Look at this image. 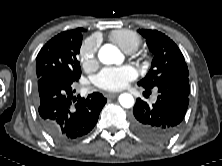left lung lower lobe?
Instances as JSON below:
<instances>
[{"mask_svg": "<svg viewBox=\"0 0 222 166\" xmlns=\"http://www.w3.org/2000/svg\"><path fill=\"white\" fill-rule=\"evenodd\" d=\"M156 88L159 95L153 105L140 98L136 100L131 127L138 136L149 142L164 143L180 129L188 108L190 87L188 80L170 79Z\"/></svg>", "mask_w": 222, "mask_h": 166, "instance_id": "obj_1", "label": "left lung lower lobe"}]
</instances>
